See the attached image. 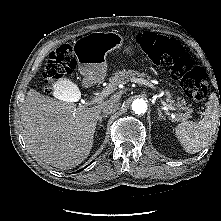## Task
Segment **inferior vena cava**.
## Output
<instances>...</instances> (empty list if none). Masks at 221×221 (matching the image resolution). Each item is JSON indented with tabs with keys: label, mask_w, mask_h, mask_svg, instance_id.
Masks as SVG:
<instances>
[{
	"label": "inferior vena cava",
	"mask_w": 221,
	"mask_h": 221,
	"mask_svg": "<svg viewBox=\"0 0 221 221\" xmlns=\"http://www.w3.org/2000/svg\"><path fill=\"white\" fill-rule=\"evenodd\" d=\"M121 106L119 99H111L103 103L102 112L107 114H112L116 112Z\"/></svg>",
	"instance_id": "inferior-vena-cava-1"
}]
</instances>
